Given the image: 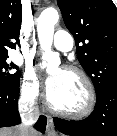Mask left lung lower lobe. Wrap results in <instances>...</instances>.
Segmentation results:
<instances>
[{
    "label": "left lung lower lobe",
    "mask_w": 117,
    "mask_h": 136,
    "mask_svg": "<svg viewBox=\"0 0 117 136\" xmlns=\"http://www.w3.org/2000/svg\"><path fill=\"white\" fill-rule=\"evenodd\" d=\"M94 111L84 120L54 119L55 127L72 136H117V81L96 94Z\"/></svg>",
    "instance_id": "obj_1"
}]
</instances>
